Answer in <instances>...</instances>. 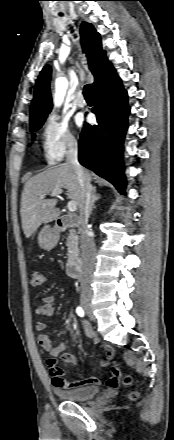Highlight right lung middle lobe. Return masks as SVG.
Segmentation results:
<instances>
[{
    "instance_id": "obj_1",
    "label": "right lung middle lobe",
    "mask_w": 174,
    "mask_h": 440,
    "mask_svg": "<svg viewBox=\"0 0 174 440\" xmlns=\"http://www.w3.org/2000/svg\"><path fill=\"white\" fill-rule=\"evenodd\" d=\"M43 123H44V120L39 121V122H36V123H34V124H31V125H30V130H31L32 132L37 131L38 129L41 128V126H42ZM34 136H35V135H33V137H34Z\"/></svg>"
}]
</instances>
